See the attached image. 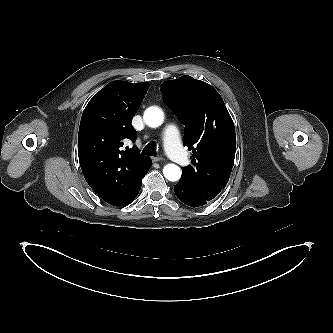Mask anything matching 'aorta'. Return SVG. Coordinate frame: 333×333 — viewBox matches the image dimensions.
I'll use <instances>...</instances> for the list:
<instances>
[{
	"instance_id": "1",
	"label": "aorta",
	"mask_w": 333,
	"mask_h": 333,
	"mask_svg": "<svg viewBox=\"0 0 333 333\" xmlns=\"http://www.w3.org/2000/svg\"><path fill=\"white\" fill-rule=\"evenodd\" d=\"M163 112L157 107H150L144 113V120L150 127H159L163 123ZM163 174L169 181H177L181 177V170L175 164H167L163 169Z\"/></svg>"
}]
</instances>
